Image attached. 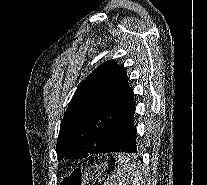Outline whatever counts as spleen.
Returning a JSON list of instances; mask_svg holds the SVG:
<instances>
[{"instance_id":"spleen-1","label":"spleen","mask_w":207,"mask_h":185,"mask_svg":"<svg viewBox=\"0 0 207 185\" xmlns=\"http://www.w3.org/2000/svg\"><path fill=\"white\" fill-rule=\"evenodd\" d=\"M138 172L135 159L116 158L115 170H111L112 178H107L106 185H139L142 174Z\"/></svg>"}]
</instances>
